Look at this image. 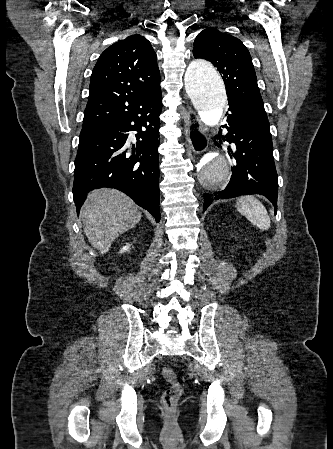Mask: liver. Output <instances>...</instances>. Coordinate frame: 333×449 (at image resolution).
<instances>
[{
  "mask_svg": "<svg viewBox=\"0 0 333 449\" xmlns=\"http://www.w3.org/2000/svg\"><path fill=\"white\" fill-rule=\"evenodd\" d=\"M81 217L89 242L100 254H105L116 238L141 220L142 214L121 191L101 188L89 194Z\"/></svg>",
  "mask_w": 333,
  "mask_h": 449,
  "instance_id": "obj_1",
  "label": "liver"
}]
</instances>
